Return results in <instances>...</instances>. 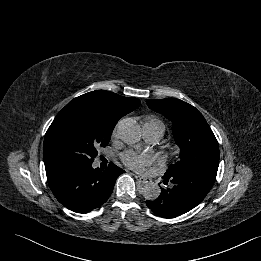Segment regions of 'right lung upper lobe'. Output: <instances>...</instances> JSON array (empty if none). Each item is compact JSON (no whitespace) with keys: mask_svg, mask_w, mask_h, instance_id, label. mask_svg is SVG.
<instances>
[{"mask_svg":"<svg viewBox=\"0 0 261 261\" xmlns=\"http://www.w3.org/2000/svg\"><path fill=\"white\" fill-rule=\"evenodd\" d=\"M72 103H89L99 115L117 123L121 117L135 110L140 104V100L123 97L105 90H97L83 94L69 104Z\"/></svg>","mask_w":261,"mask_h":261,"instance_id":"right-lung-upper-lobe-1","label":"right lung upper lobe"}]
</instances>
